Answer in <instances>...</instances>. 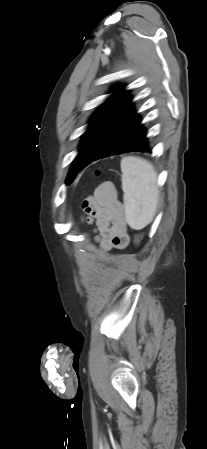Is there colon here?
I'll return each instance as SVG.
<instances>
[{
	"label": "colon",
	"mask_w": 207,
	"mask_h": 449,
	"mask_svg": "<svg viewBox=\"0 0 207 449\" xmlns=\"http://www.w3.org/2000/svg\"><path fill=\"white\" fill-rule=\"evenodd\" d=\"M98 173H100V171ZM141 240H142V234L141 233L136 234L134 237V242L136 244H139L141 242Z\"/></svg>",
	"instance_id": "5ec220e1"
}]
</instances>
